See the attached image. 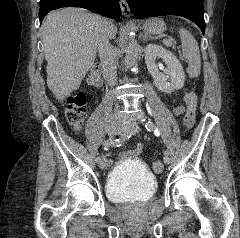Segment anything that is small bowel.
<instances>
[{
    "label": "small bowel",
    "mask_w": 240,
    "mask_h": 238,
    "mask_svg": "<svg viewBox=\"0 0 240 238\" xmlns=\"http://www.w3.org/2000/svg\"><path fill=\"white\" fill-rule=\"evenodd\" d=\"M174 113L176 115H180L184 112V107L183 106H178L176 108H174ZM136 146V145H135ZM143 147L145 148H150L151 144L150 143H138L137 144V148L136 149H118L117 153L118 154H145L146 150L142 149ZM114 161L112 157H108L107 158V163L104 164V170H101V175H106L107 172L110 171L111 166H114Z\"/></svg>",
    "instance_id": "1"
}]
</instances>
